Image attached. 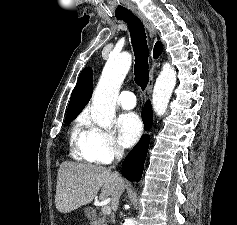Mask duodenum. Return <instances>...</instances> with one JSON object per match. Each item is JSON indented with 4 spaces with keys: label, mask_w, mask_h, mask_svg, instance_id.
Listing matches in <instances>:
<instances>
[{
    "label": "duodenum",
    "mask_w": 237,
    "mask_h": 225,
    "mask_svg": "<svg viewBox=\"0 0 237 225\" xmlns=\"http://www.w3.org/2000/svg\"><path fill=\"white\" fill-rule=\"evenodd\" d=\"M93 225H106V223L99 219H94Z\"/></svg>",
    "instance_id": "1"
}]
</instances>
